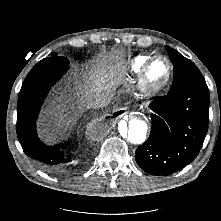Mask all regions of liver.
<instances>
[{
    "instance_id": "liver-1",
    "label": "liver",
    "mask_w": 221,
    "mask_h": 221,
    "mask_svg": "<svg viewBox=\"0 0 221 221\" xmlns=\"http://www.w3.org/2000/svg\"><path fill=\"white\" fill-rule=\"evenodd\" d=\"M125 65L120 53L104 63H99L87 70L82 77V81L77 82L74 87L77 94L78 110H75V104L69 108L61 104L63 96L53 100L49 106V119H44L47 124V130L51 133H64L74 123L79 112L84 108H90L89 103L101 94H110L121 83L124 77ZM59 103V104H58ZM71 113L73 116H71Z\"/></svg>"
}]
</instances>
